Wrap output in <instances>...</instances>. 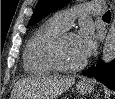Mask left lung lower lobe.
I'll use <instances>...</instances> for the list:
<instances>
[{"label": "left lung lower lobe", "mask_w": 115, "mask_h": 99, "mask_svg": "<svg viewBox=\"0 0 115 99\" xmlns=\"http://www.w3.org/2000/svg\"><path fill=\"white\" fill-rule=\"evenodd\" d=\"M82 74L95 77V79L105 84L108 88L115 90V59L109 64L99 61L96 66L92 65Z\"/></svg>", "instance_id": "0a47b994"}]
</instances>
